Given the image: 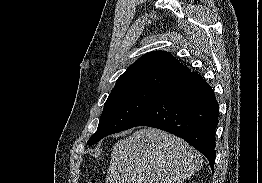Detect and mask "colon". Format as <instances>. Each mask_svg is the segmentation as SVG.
Wrapping results in <instances>:
<instances>
[{
  "label": "colon",
  "instance_id": "obj_1",
  "mask_svg": "<svg viewBox=\"0 0 262 183\" xmlns=\"http://www.w3.org/2000/svg\"><path fill=\"white\" fill-rule=\"evenodd\" d=\"M87 183H99V182L96 180H89Z\"/></svg>",
  "mask_w": 262,
  "mask_h": 183
}]
</instances>
